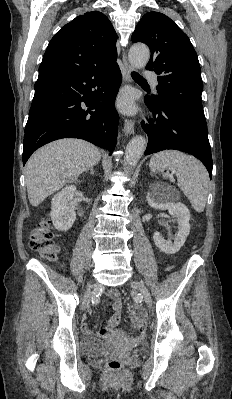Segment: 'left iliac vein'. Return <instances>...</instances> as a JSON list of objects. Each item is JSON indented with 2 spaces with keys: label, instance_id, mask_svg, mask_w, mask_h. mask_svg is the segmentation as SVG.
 I'll list each match as a JSON object with an SVG mask.
<instances>
[{
  "label": "left iliac vein",
  "instance_id": "4c4485c4",
  "mask_svg": "<svg viewBox=\"0 0 232 399\" xmlns=\"http://www.w3.org/2000/svg\"><path fill=\"white\" fill-rule=\"evenodd\" d=\"M130 288H132V289H138V291H141V293H143L145 302L149 305V306H148V309H149V310H152V309H153V306H152V305L154 304V301L152 300L150 291H148V288H145V287H144V284H143V283H138L137 281H133V282H132V285H130Z\"/></svg>",
  "mask_w": 232,
  "mask_h": 399
}]
</instances>
